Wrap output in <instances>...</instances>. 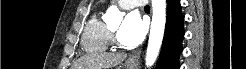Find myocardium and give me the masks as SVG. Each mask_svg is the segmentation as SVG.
Masks as SVG:
<instances>
[{
	"label": "myocardium",
	"mask_w": 246,
	"mask_h": 69,
	"mask_svg": "<svg viewBox=\"0 0 246 69\" xmlns=\"http://www.w3.org/2000/svg\"><path fill=\"white\" fill-rule=\"evenodd\" d=\"M112 35L115 36V32L112 31Z\"/></svg>",
	"instance_id": "obj_1"
}]
</instances>
